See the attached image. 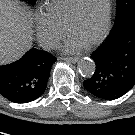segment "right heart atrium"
<instances>
[{
	"label": "right heart atrium",
	"instance_id": "1",
	"mask_svg": "<svg viewBox=\"0 0 135 135\" xmlns=\"http://www.w3.org/2000/svg\"><path fill=\"white\" fill-rule=\"evenodd\" d=\"M34 29L39 42L46 48L56 47L64 35V30L46 15H38L35 18Z\"/></svg>",
	"mask_w": 135,
	"mask_h": 135
}]
</instances>
